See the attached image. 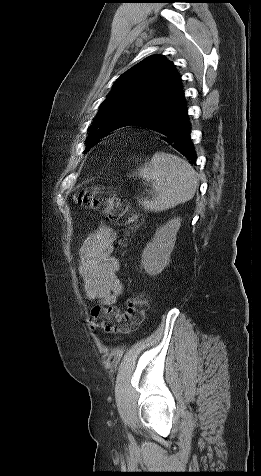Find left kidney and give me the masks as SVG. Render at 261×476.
I'll use <instances>...</instances> for the list:
<instances>
[{"label": "left kidney", "instance_id": "obj_1", "mask_svg": "<svg viewBox=\"0 0 261 476\" xmlns=\"http://www.w3.org/2000/svg\"><path fill=\"white\" fill-rule=\"evenodd\" d=\"M180 226V218L169 220L157 230L154 238L147 244L141 260V266L147 274L155 276L169 264Z\"/></svg>", "mask_w": 261, "mask_h": 476}]
</instances>
